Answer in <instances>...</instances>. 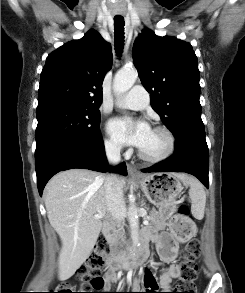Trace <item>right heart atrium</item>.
Returning <instances> with one entry per match:
<instances>
[{
	"instance_id": "d8ad5b80",
	"label": "right heart atrium",
	"mask_w": 245,
	"mask_h": 293,
	"mask_svg": "<svg viewBox=\"0 0 245 293\" xmlns=\"http://www.w3.org/2000/svg\"><path fill=\"white\" fill-rule=\"evenodd\" d=\"M105 150L110 156H117L121 152V146L113 139H107L105 141Z\"/></svg>"
}]
</instances>
